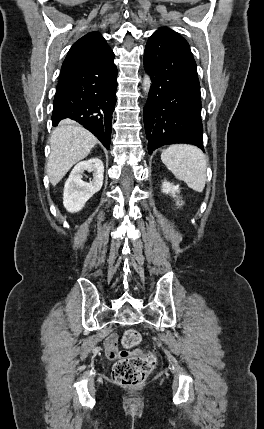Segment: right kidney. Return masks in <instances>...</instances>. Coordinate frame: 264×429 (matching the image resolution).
<instances>
[{"label":"right kidney","instance_id":"ca27d5eb","mask_svg":"<svg viewBox=\"0 0 264 429\" xmlns=\"http://www.w3.org/2000/svg\"><path fill=\"white\" fill-rule=\"evenodd\" d=\"M93 172L89 182L82 180L84 171ZM104 165L99 158L81 161L73 168L67 179L63 192V205L67 211H80L85 203L98 192L103 184Z\"/></svg>","mask_w":264,"mask_h":429}]
</instances>
